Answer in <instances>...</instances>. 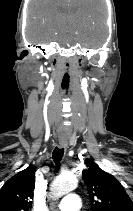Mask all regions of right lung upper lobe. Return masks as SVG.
<instances>
[{"label": "right lung upper lobe", "instance_id": "1", "mask_svg": "<svg viewBox=\"0 0 133 211\" xmlns=\"http://www.w3.org/2000/svg\"><path fill=\"white\" fill-rule=\"evenodd\" d=\"M34 186V168L28 167L14 175L0 190V211H29Z\"/></svg>", "mask_w": 133, "mask_h": 211}]
</instances>
